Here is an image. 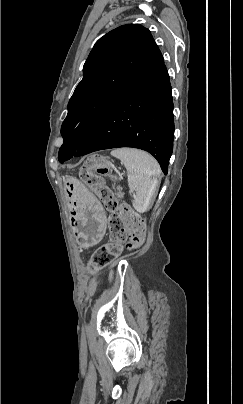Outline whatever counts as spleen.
I'll use <instances>...</instances> for the list:
<instances>
[{
  "label": "spleen",
  "instance_id": "obj_1",
  "mask_svg": "<svg viewBox=\"0 0 243 404\" xmlns=\"http://www.w3.org/2000/svg\"><path fill=\"white\" fill-rule=\"evenodd\" d=\"M111 156L123 162L128 172L129 192H136L132 206L139 214L147 212L151 206L153 194L157 186V178L161 174L160 166L150 154L136 148H116Z\"/></svg>",
  "mask_w": 243,
  "mask_h": 404
}]
</instances>
